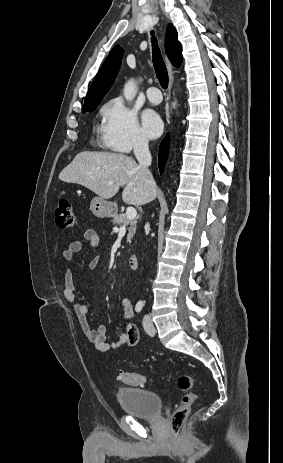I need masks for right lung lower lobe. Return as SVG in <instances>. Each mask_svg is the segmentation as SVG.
Listing matches in <instances>:
<instances>
[{
    "instance_id": "right-lung-lower-lobe-1",
    "label": "right lung lower lobe",
    "mask_w": 283,
    "mask_h": 463,
    "mask_svg": "<svg viewBox=\"0 0 283 463\" xmlns=\"http://www.w3.org/2000/svg\"><path fill=\"white\" fill-rule=\"evenodd\" d=\"M168 149H169V137L167 136L161 143L160 145V149H159V169H160V172L162 171L165 163H166V159H167V156H168Z\"/></svg>"
}]
</instances>
